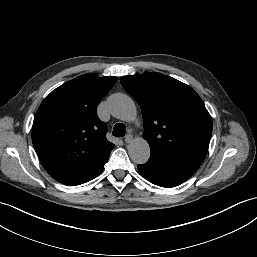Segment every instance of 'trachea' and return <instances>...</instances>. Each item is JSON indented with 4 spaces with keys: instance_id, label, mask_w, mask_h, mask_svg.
Here are the masks:
<instances>
[{
    "instance_id": "obj_1",
    "label": "trachea",
    "mask_w": 257,
    "mask_h": 257,
    "mask_svg": "<svg viewBox=\"0 0 257 257\" xmlns=\"http://www.w3.org/2000/svg\"><path fill=\"white\" fill-rule=\"evenodd\" d=\"M125 132H126V128H125V125L122 124V123H117L115 126H114V129H113V132L112 134L116 137H123L125 135Z\"/></svg>"
}]
</instances>
